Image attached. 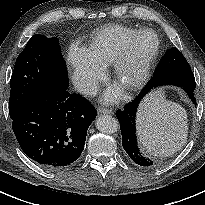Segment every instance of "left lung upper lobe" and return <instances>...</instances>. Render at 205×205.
Here are the masks:
<instances>
[{"instance_id":"left-lung-upper-lobe-1","label":"left lung upper lobe","mask_w":205,"mask_h":205,"mask_svg":"<svg viewBox=\"0 0 205 205\" xmlns=\"http://www.w3.org/2000/svg\"><path fill=\"white\" fill-rule=\"evenodd\" d=\"M187 70H191L189 63L181 52L176 47H173L165 53L154 72V76Z\"/></svg>"}]
</instances>
